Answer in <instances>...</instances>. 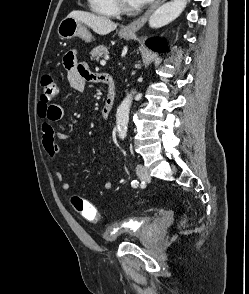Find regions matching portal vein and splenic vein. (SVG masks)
<instances>
[{
	"label": "portal vein and splenic vein",
	"instance_id": "1",
	"mask_svg": "<svg viewBox=\"0 0 249 294\" xmlns=\"http://www.w3.org/2000/svg\"><path fill=\"white\" fill-rule=\"evenodd\" d=\"M100 64L104 66V65H106V61L102 60V61H100Z\"/></svg>",
	"mask_w": 249,
	"mask_h": 294
}]
</instances>
